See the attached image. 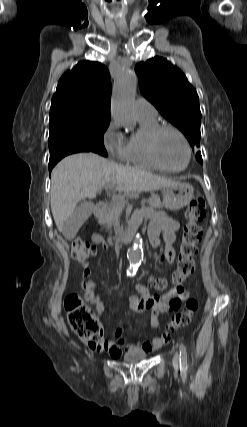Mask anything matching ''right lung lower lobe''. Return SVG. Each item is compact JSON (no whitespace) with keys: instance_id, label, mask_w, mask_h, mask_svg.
<instances>
[{"instance_id":"1","label":"right lung lower lobe","mask_w":247,"mask_h":427,"mask_svg":"<svg viewBox=\"0 0 247 427\" xmlns=\"http://www.w3.org/2000/svg\"><path fill=\"white\" fill-rule=\"evenodd\" d=\"M77 152H88L87 150L77 147V146H68V147H60L52 150L50 152V160H49V172L51 173L52 168L56 165V163L61 160L63 157Z\"/></svg>"}]
</instances>
